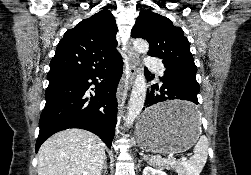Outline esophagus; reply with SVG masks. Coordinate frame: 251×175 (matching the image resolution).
Returning a JSON list of instances; mask_svg holds the SVG:
<instances>
[{
  "label": "esophagus",
  "instance_id": "1",
  "mask_svg": "<svg viewBox=\"0 0 251 175\" xmlns=\"http://www.w3.org/2000/svg\"><path fill=\"white\" fill-rule=\"evenodd\" d=\"M139 61L140 60H139L138 54L135 51H133L132 49H130L128 51L129 83L132 82V80H133V78H134V76L136 74ZM124 81H125V79H122V81L120 82V85H119V87L117 89L116 96H117L118 101L120 100V98H121V96L123 94Z\"/></svg>",
  "mask_w": 251,
  "mask_h": 175
}]
</instances>
